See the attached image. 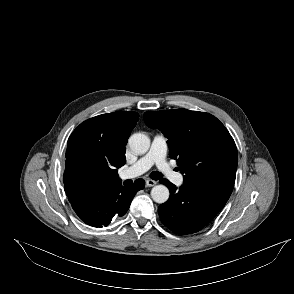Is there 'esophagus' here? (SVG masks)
Segmentation results:
<instances>
[{"instance_id": "1", "label": "esophagus", "mask_w": 294, "mask_h": 294, "mask_svg": "<svg viewBox=\"0 0 294 294\" xmlns=\"http://www.w3.org/2000/svg\"><path fill=\"white\" fill-rule=\"evenodd\" d=\"M154 185H156V181H154V180H152V179H147V180H146V186H147V187H152V186H154Z\"/></svg>"}]
</instances>
